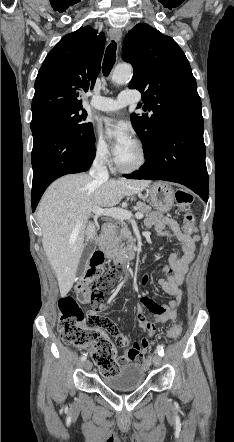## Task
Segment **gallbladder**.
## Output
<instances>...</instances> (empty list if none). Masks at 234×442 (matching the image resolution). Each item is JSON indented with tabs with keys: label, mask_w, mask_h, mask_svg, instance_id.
<instances>
[{
	"label": "gallbladder",
	"mask_w": 234,
	"mask_h": 442,
	"mask_svg": "<svg viewBox=\"0 0 234 442\" xmlns=\"http://www.w3.org/2000/svg\"><path fill=\"white\" fill-rule=\"evenodd\" d=\"M94 249H95L94 242H88V244L86 245V247L83 250V253H82V256H81V259L79 262V266L77 269V276L78 277H81L84 274L86 267H87V262L91 256L92 252L94 251Z\"/></svg>",
	"instance_id": "1"
}]
</instances>
